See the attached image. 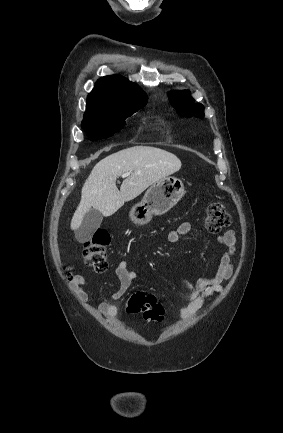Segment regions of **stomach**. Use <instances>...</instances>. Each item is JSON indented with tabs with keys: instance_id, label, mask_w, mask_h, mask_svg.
I'll list each match as a JSON object with an SVG mask.
<instances>
[{
	"instance_id": "stomach-1",
	"label": "stomach",
	"mask_w": 283,
	"mask_h": 433,
	"mask_svg": "<svg viewBox=\"0 0 283 433\" xmlns=\"http://www.w3.org/2000/svg\"><path fill=\"white\" fill-rule=\"evenodd\" d=\"M185 194V186L176 176H164L153 182L146 190L141 202L134 204L130 217L134 223L152 219V214H164Z\"/></svg>"
}]
</instances>
